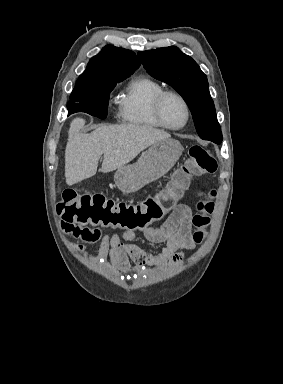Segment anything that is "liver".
<instances>
[{
    "label": "liver",
    "instance_id": "liver-1",
    "mask_svg": "<svg viewBox=\"0 0 283 384\" xmlns=\"http://www.w3.org/2000/svg\"><path fill=\"white\" fill-rule=\"evenodd\" d=\"M83 126L85 120L75 118L69 128L65 150V178L68 186L95 176L102 154L104 160L100 172L107 174L129 164L142 150L156 142L171 138L164 130L139 124L102 126L91 134H81Z\"/></svg>",
    "mask_w": 283,
    "mask_h": 384
}]
</instances>
